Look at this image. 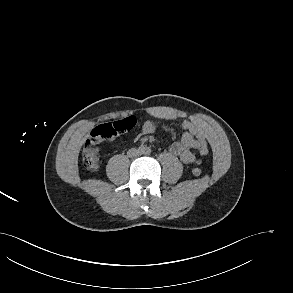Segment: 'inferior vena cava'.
Returning a JSON list of instances; mask_svg holds the SVG:
<instances>
[{"instance_id":"1","label":"inferior vena cava","mask_w":293,"mask_h":293,"mask_svg":"<svg viewBox=\"0 0 293 293\" xmlns=\"http://www.w3.org/2000/svg\"><path fill=\"white\" fill-rule=\"evenodd\" d=\"M128 155H129V157H137V156H139V152L137 149H132Z\"/></svg>"}]
</instances>
